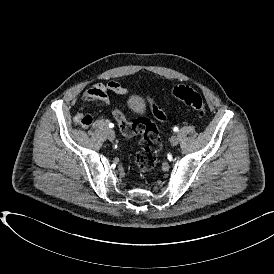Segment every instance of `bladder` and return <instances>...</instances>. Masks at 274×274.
Wrapping results in <instances>:
<instances>
[{
    "mask_svg": "<svg viewBox=\"0 0 274 274\" xmlns=\"http://www.w3.org/2000/svg\"><path fill=\"white\" fill-rule=\"evenodd\" d=\"M131 110L135 113H138L142 110L143 104L140 99L132 98L129 102Z\"/></svg>",
    "mask_w": 274,
    "mask_h": 274,
    "instance_id": "31cf9c89",
    "label": "bladder"
}]
</instances>
